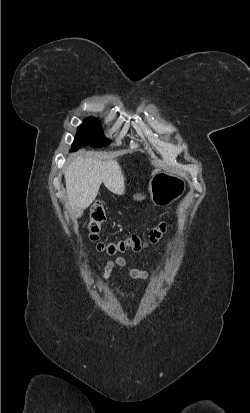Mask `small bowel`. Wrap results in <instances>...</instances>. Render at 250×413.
<instances>
[{
  "label": "small bowel",
  "mask_w": 250,
  "mask_h": 413,
  "mask_svg": "<svg viewBox=\"0 0 250 413\" xmlns=\"http://www.w3.org/2000/svg\"><path fill=\"white\" fill-rule=\"evenodd\" d=\"M171 255H172V246L169 245L168 248H167V257L170 258ZM115 266L126 268L128 274L133 279L145 280L149 277V273L146 270L129 267L127 265L126 260L123 257H117L113 260H109L106 263L105 268H104V278L105 279L109 278V276H110V274H111V272H112V270ZM114 294L119 296V297H126L127 296L126 292L120 291V290H115Z\"/></svg>",
  "instance_id": "c3829d8e"
}]
</instances>
